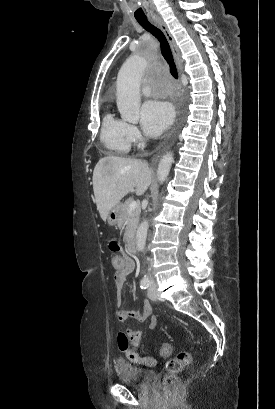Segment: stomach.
Wrapping results in <instances>:
<instances>
[{"mask_svg":"<svg viewBox=\"0 0 275 409\" xmlns=\"http://www.w3.org/2000/svg\"><path fill=\"white\" fill-rule=\"evenodd\" d=\"M122 211V205L121 202H118V205H115V207H112L111 211H109L107 215V223L110 225V227H116L120 215Z\"/></svg>","mask_w":275,"mask_h":409,"instance_id":"1","label":"stomach"}]
</instances>
